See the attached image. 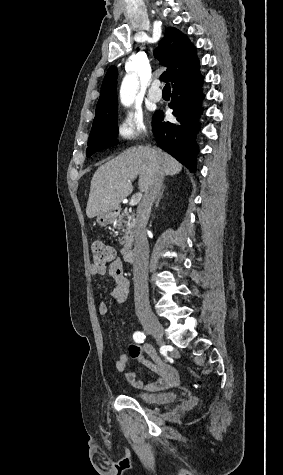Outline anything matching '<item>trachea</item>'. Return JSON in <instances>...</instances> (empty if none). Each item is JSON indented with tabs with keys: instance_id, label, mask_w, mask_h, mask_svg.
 <instances>
[{
	"instance_id": "1",
	"label": "trachea",
	"mask_w": 283,
	"mask_h": 475,
	"mask_svg": "<svg viewBox=\"0 0 283 475\" xmlns=\"http://www.w3.org/2000/svg\"><path fill=\"white\" fill-rule=\"evenodd\" d=\"M163 92H171L170 83H166V85L163 88Z\"/></svg>"
}]
</instances>
